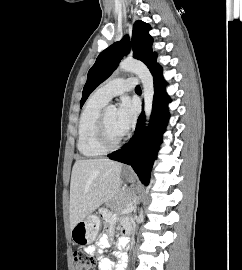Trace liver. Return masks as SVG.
I'll return each mask as SVG.
<instances>
[{
  "mask_svg": "<svg viewBox=\"0 0 242 270\" xmlns=\"http://www.w3.org/2000/svg\"><path fill=\"white\" fill-rule=\"evenodd\" d=\"M122 164L106 158L77 160L70 183V228L103 203L115 200L121 190Z\"/></svg>",
  "mask_w": 242,
  "mask_h": 270,
  "instance_id": "6515ba94",
  "label": "liver"
}]
</instances>
